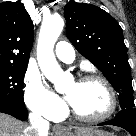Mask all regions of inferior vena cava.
Returning a JSON list of instances; mask_svg holds the SVG:
<instances>
[{
  "label": "inferior vena cava",
  "instance_id": "1",
  "mask_svg": "<svg viewBox=\"0 0 136 136\" xmlns=\"http://www.w3.org/2000/svg\"><path fill=\"white\" fill-rule=\"evenodd\" d=\"M29 119L31 123V129L35 133V136H47L49 130V122L44 120L37 113H30Z\"/></svg>",
  "mask_w": 136,
  "mask_h": 136
}]
</instances>
